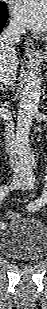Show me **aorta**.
Here are the masks:
<instances>
[{"mask_svg": "<svg viewBox=\"0 0 47 309\" xmlns=\"http://www.w3.org/2000/svg\"><path fill=\"white\" fill-rule=\"evenodd\" d=\"M40 98L41 79L39 77L38 66L32 64L24 77L17 117L16 146L21 158H33L29 143V133L32 122L38 113Z\"/></svg>", "mask_w": 47, "mask_h": 309, "instance_id": "aorta-1", "label": "aorta"}]
</instances>
